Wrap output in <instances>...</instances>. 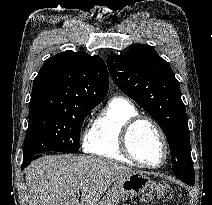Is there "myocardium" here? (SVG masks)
Masks as SVG:
<instances>
[{
  "label": "myocardium",
  "mask_w": 212,
  "mask_h": 205,
  "mask_svg": "<svg viewBox=\"0 0 212 205\" xmlns=\"http://www.w3.org/2000/svg\"><path fill=\"white\" fill-rule=\"evenodd\" d=\"M149 123L157 132V134L160 137V140L162 142V146H163V158L162 160L157 163V164H149V163H145L142 162L141 160H139L136 155L134 154L132 148H131V134L134 130V128L139 125L140 123ZM120 145H121V149L123 151V153L136 165L141 166V167H146V168H158L160 166H162L167 158H168V154H169V149H168V142L166 139V136L162 130V128L160 127V125L152 118L148 117V116H141V115H137L133 118H131L123 127L122 131H121V136H120Z\"/></svg>",
  "instance_id": "obj_1"
}]
</instances>
